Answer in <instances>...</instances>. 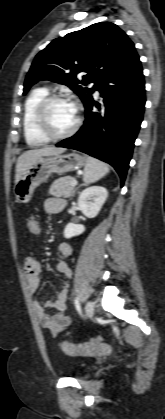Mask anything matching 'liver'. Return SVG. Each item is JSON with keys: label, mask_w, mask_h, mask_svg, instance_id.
<instances>
[{"label": "liver", "mask_w": 165, "mask_h": 419, "mask_svg": "<svg viewBox=\"0 0 165 419\" xmlns=\"http://www.w3.org/2000/svg\"><path fill=\"white\" fill-rule=\"evenodd\" d=\"M65 148H57L54 146H44L40 149H31L24 152L17 160L15 183H17L22 174L40 157H47L65 152Z\"/></svg>", "instance_id": "liver-1"}]
</instances>
